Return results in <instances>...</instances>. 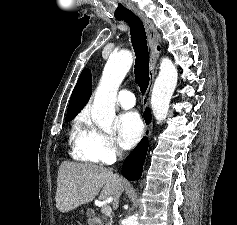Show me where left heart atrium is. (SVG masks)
Wrapping results in <instances>:
<instances>
[{"instance_id": "39dd6f15", "label": "left heart atrium", "mask_w": 237, "mask_h": 225, "mask_svg": "<svg viewBox=\"0 0 237 225\" xmlns=\"http://www.w3.org/2000/svg\"><path fill=\"white\" fill-rule=\"evenodd\" d=\"M117 126L119 142L125 149L132 148L143 134V124L136 112L121 114L118 117Z\"/></svg>"}]
</instances>
